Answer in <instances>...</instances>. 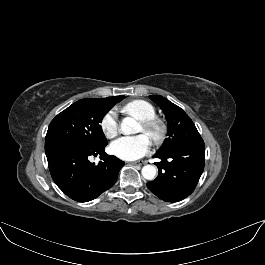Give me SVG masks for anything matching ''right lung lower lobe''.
Returning <instances> with one entry per match:
<instances>
[{"label":"right lung lower lobe","instance_id":"right-lung-lower-lobe-1","mask_svg":"<svg viewBox=\"0 0 265 265\" xmlns=\"http://www.w3.org/2000/svg\"><path fill=\"white\" fill-rule=\"evenodd\" d=\"M107 145L88 146L68 139L45 141L48 166L55 184L71 199L88 202L114 185L124 162L107 155ZM101 155L95 165L91 155Z\"/></svg>","mask_w":265,"mask_h":265}]
</instances>
